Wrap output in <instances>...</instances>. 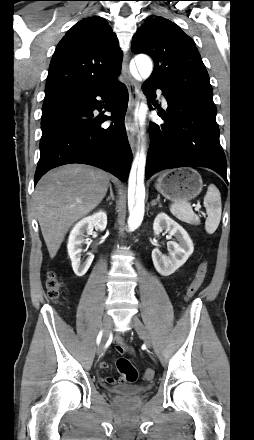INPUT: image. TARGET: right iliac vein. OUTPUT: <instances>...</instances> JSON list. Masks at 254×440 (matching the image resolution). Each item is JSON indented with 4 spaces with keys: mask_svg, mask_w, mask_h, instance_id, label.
I'll return each instance as SVG.
<instances>
[{
    "mask_svg": "<svg viewBox=\"0 0 254 440\" xmlns=\"http://www.w3.org/2000/svg\"><path fill=\"white\" fill-rule=\"evenodd\" d=\"M111 325H112V317L106 314L103 318V324H102V330H103L102 339L96 350L98 356H101L103 353L104 345L109 337V330Z\"/></svg>",
    "mask_w": 254,
    "mask_h": 440,
    "instance_id": "right-iliac-vein-1",
    "label": "right iliac vein"
}]
</instances>
